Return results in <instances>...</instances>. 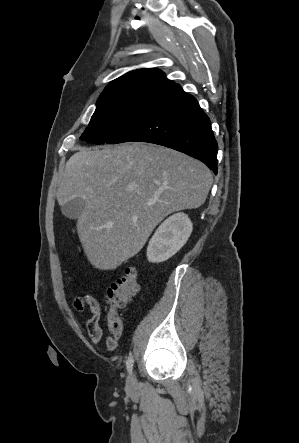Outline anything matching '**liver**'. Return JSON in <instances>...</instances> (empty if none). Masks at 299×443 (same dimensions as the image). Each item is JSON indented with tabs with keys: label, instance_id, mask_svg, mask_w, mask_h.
Instances as JSON below:
<instances>
[{
	"label": "liver",
	"instance_id": "1",
	"mask_svg": "<svg viewBox=\"0 0 299 443\" xmlns=\"http://www.w3.org/2000/svg\"><path fill=\"white\" fill-rule=\"evenodd\" d=\"M213 177L201 161L142 142L81 148L67 161L57 200L85 201L76 228L90 263L116 269L167 215L204 204ZM148 202H152L148 205Z\"/></svg>",
	"mask_w": 299,
	"mask_h": 443
}]
</instances>
